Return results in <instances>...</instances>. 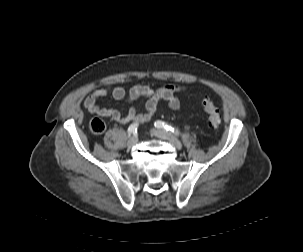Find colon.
Listing matches in <instances>:
<instances>
[{"label": "colon", "instance_id": "colon-1", "mask_svg": "<svg viewBox=\"0 0 303 252\" xmlns=\"http://www.w3.org/2000/svg\"><path fill=\"white\" fill-rule=\"evenodd\" d=\"M202 107L209 116L210 126L217 127L221 121L220 110L209 99H204L202 101ZM90 129L96 135L102 134L105 130V123L98 118L92 119L90 122Z\"/></svg>", "mask_w": 303, "mask_h": 252}]
</instances>
